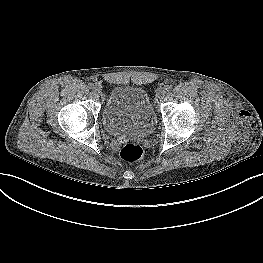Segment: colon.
<instances>
[{"label": "colon", "instance_id": "5ec220e1", "mask_svg": "<svg viewBox=\"0 0 263 263\" xmlns=\"http://www.w3.org/2000/svg\"><path fill=\"white\" fill-rule=\"evenodd\" d=\"M143 150L142 148L134 143L125 144L121 151L120 156L123 160L128 162H135L142 158Z\"/></svg>", "mask_w": 263, "mask_h": 263}]
</instances>
